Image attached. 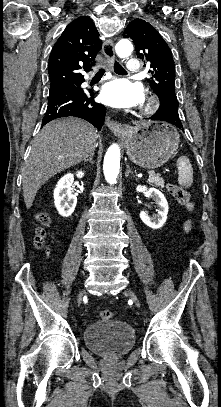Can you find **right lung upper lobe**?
I'll use <instances>...</instances> for the list:
<instances>
[{"label":"right lung upper lobe","mask_w":221,"mask_h":407,"mask_svg":"<svg viewBox=\"0 0 221 407\" xmlns=\"http://www.w3.org/2000/svg\"><path fill=\"white\" fill-rule=\"evenodd\" d=\"M99 33L91 18L82 16L72 21L59 37L49 57L51 84L69 85L84 79L95 65L101 49Z\"/></svg>","instance_id":"right-lung-upper-lobe-1"}]
</instances>
